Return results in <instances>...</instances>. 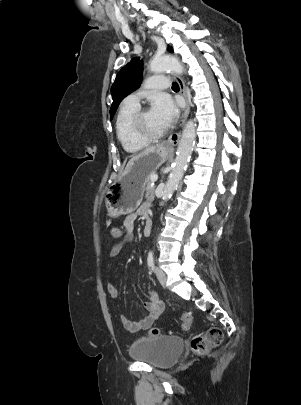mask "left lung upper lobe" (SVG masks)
Masks as SVG:
<instances>
[{
    "instance_id": "1",
    "label": "left lung upper lobe",
    "mask_w": 301,
    "mask_h": 405,
    "mask_svg": "<svg viewBox=\"0 0 301 405\" xmlns=\"http://www.w3.org/2000/svg\"><path fill=\"white\" fill-rule=\"evenodd\" d=\"M168 50L173 52L172 47ZM143 62L138 57L133 58L124 66L116 76L114 84L111 87L113 103L110 109V117L113 118L119 103L128 94L139 88L141 84Z\"/></svg>"
}]
</instances>
